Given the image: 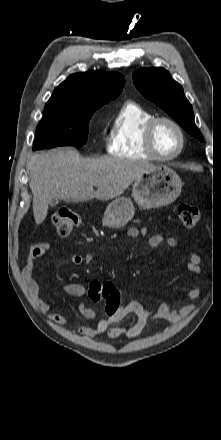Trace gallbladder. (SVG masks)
Masks as SVG:
<instances>
[{
	"label": "gallbladder",
	"mask_w": 221,
	"mask_h": 440,
	"mask_svg": "<svg viewBox=\"0 0 221 440\" xmlns=\"http://www.w3.org/2000/svg\"><path fill=\"white\" fill-rule=\"evenodd\" d=\"M58 204V199H53L51 202H50V206L51 207H54V206H56Z\"/></svg>",
	"instance_id": "obj_1"
}]
</instances>
